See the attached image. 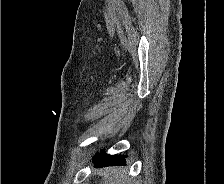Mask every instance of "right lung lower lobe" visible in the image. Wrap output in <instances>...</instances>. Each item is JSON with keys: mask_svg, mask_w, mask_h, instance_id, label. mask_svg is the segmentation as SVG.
I'll use <instances>...</instances> for the list:
<instances>
[{"mask_svg": "<svg viewBox=\"0 0 224 184\" xmlns=\"http://www.w3.org/2000/svg\"><path fill=\"white\" fill-rule=\"evenodd\" d=\"M93 163L98 167L124 165L126 163L125 156L122 155H108L105 153L97 154L93 157Z\"/></svg>", "mask_w": 224, "mask_h": 184, "instance_id": "98d812e1", "label": "right lung lower lobe"}]
</instances>
